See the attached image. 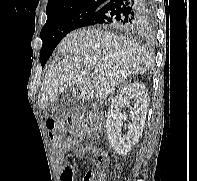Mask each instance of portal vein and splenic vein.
Returning a JSON list of instances; mask_svg holds the SVG:
<instances>
[{
  "label": "portal vein and splenic vein",
  "mask_w": 197,
  "mask_h": 181,
  "mask_svg": "<svg viewBox=\"0 0 197 181\" xmlns=\"http://www.w3.org/2000/svg\"><path fill=\"white\" fill-rule=\"evenodd\" d=\"M81 74L86 75L87 73L85 71H82Z\"/></svg>",
  "instance_id": "18ae733b"
}]
</instances>
